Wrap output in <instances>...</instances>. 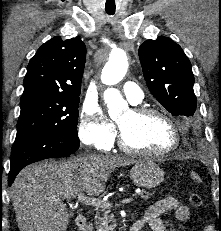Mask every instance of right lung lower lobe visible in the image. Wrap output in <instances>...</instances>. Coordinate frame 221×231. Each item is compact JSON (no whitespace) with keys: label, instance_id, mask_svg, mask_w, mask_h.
Here are the masks:
<instances>
[{"label":"right lung lower lobe","instance_id":"1","mask_svg":"<svg viewBox=\"0 0 221 231\" xmlns=\"http://www.w3.org/2000/svg\"><path fill=\"white\" fill-rule=\"evenodd\" d=\"M79 148V138L59 133L36 134L19 144H13L8 184L25 166L47 158L73 154Z\"/></svg>","mask_w":221,"mask_h":231}]
</instances>
